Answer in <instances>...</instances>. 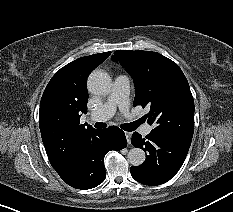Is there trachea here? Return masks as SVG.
<instances>
[{
    "mask_svg": "<svg viewBox=\"0 0 233 212\" xmlns=\"http://www.w3.org/2000/svg\"><path fill=\"white\" fill-rule=\"evenodd\" d=\"M139 124H140V122L137 121V122L128 123V124H121L120 127L125 131H133L138 127ZM94 126L96 128H105L107 125L105 123H102V122H97V123H95Z\"/></svg>",
    "mask_w": 233,
    "mask_h": 212,
    "instance_id": "obj_1",
    "label": "trachea"
}]
</instances>
